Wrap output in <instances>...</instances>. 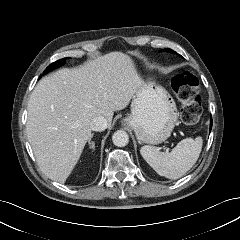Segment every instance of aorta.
Returning a JSON list of instances; mask_svg holds the SVG:
<instances>
[{
  "label": "aorta",
  "instance_id": "obj_1",
  "mask_svg": "<svg viewBox=\"0 0 240 240\" xmlns=\"http://www.w3.org/2000/svg\"><path fill=\"white\" fill-rule=\"evenodd\" d=\"M112 141L115 146L124 147L129 143V135L124 130H118L113 134Z\"/></svg>",
  "mask_w": 240,
  "mask_h": 240
}]
</instances>
